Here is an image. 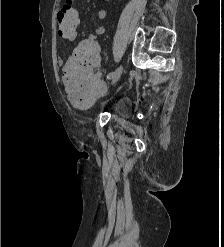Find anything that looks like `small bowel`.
I'll list each match as a JSON object with an SVG mask.
<instances>
[{"label": "small bowel", "mask_w": 224, "mask_h": 247, "mask_svg": "<svg viewBox=\"0 0 224 247\" xmlns=\"http://www.w3.org/2000/svg\"><path fill=\"white\" fill-rule=\"evenodd\" d=\"M106 11L105 10H100L97 13V16L100 20H104L106 18ZM105 31L104 26H99L94 30V33H92L89 38L86 41H91L96 43V39L98 36L102 35ZM77 32H75L73 35H71L68 39L73 40L76 38ZM58 65H63V60L62 58L57 59Z\"/></svg>", "instance_id": "1"}]
</instances>
